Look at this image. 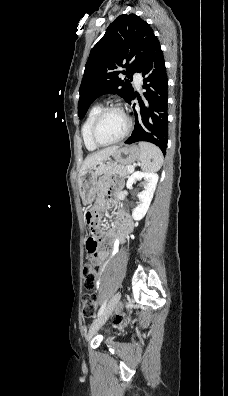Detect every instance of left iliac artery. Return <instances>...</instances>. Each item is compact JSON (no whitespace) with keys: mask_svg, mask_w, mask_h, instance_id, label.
Instances as JSON below:
<instances>
[{"mask_svg":"<svg viewBox=\"0 0 228 396\" xmlns=\"http://www.w3.org/2000/svg\"><path fill=\"white\" fill-rule=\"evenodd\" d=\"M106 305H107V300L104 301V303H103L102 306L100 307L99 312H98V317H99L101 314H103V312L105 311Z\"/></svg>","mask_w":228,"mask_h":396,"instance_id":"1","label":"left iliac artery"}]
</instances>
